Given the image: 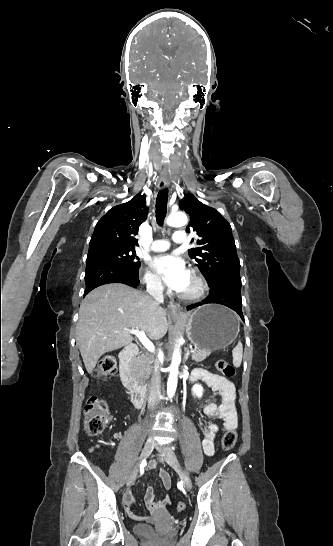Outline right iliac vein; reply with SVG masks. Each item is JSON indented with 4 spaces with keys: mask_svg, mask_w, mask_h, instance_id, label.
<instances>
[{
    "mask_svg": "<svg viewBox=\"0 0 333 546\" xmlns=\"http://www.w3.org/2000/svg\"><path fill=\"white\" fill-rule=\"evenodd\" d=\"M154 446H155V442L152 438H149L146 443H145V446L143 448V451L141 453V456H140V460H144L145 458H147L151 452L153 451L154 449ZM138 471H139V465L137 464L135 466V468L133 469V471L131 472V474L129 475L128 477V480H127V485H131L136 477H137V474H138Z\"/></svg>",
    "mask_w": 333,
    "mask_h": 546,
    "instance_id": "obj_1",
    "label": "right iliac vein"
}]
</instances>
